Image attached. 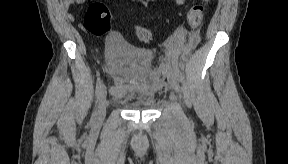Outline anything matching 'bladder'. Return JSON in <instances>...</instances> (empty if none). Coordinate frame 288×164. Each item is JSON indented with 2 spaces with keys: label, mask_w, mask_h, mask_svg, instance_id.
<instances>
[{
  "label": "bladder",
  "mask_w": 288,
  "mask_h": 164,
  "mask_svg": "<svg viewBox=\"0 0 288 164\" xmlns=\"http://www.w3.org/2000/svg\"><path fill=\"white\" fill-rule=\"evenodd\" d=\"M105 58L114 80L112 97L130 103L133 109L154 108V100L145 89L153 52L122 41H113L106 46Z\"/></svg>",
  "instance_id": "1"
}]
</instances>
